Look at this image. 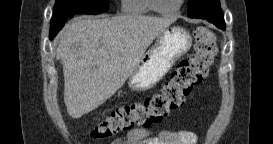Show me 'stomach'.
<instances>
[{
    "mask_svg": "<svg viewBox=\"0 0 273 144\" xmlns=\"http://www.w3.org/2000/svg\"><path fill=\"white\" fill-rule=\"evenodd\" d=\"M190 33L180 26L166 28L157 36L155 44L142 56L130 74L128 85L133 91L152 88L171 69L175 62L189 51Z\"/></svg>",
    "mask_w": 273,
    "mask_h": 144,
    "instance_id": "0dacf381",
    "label": "stomach"
}]
</instances>
